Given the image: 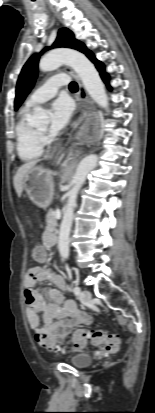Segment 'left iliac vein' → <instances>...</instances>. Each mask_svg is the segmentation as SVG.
<instances>
[{"label": "left iliac vein", "mask_w": 155, "mask_h": 413, "mask_svg": "<svg viewBox=\"0 0 155 413\" xmlns=\"http://www.w3.org/2000/svg\"><path fill=\"white\" fill-rule=\"evenodd\" d=\"M91 300V293H90V291H88V290H83L81 293H80V301L82 302V303H87V302H89Z\"/></svg>", "instance_id": "obj_1"}]
</instances>
